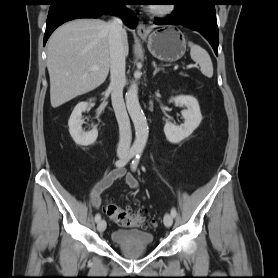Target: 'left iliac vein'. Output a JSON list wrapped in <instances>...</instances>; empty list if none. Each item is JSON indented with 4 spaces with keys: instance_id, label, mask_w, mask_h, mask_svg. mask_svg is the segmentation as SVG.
Masks as SVG:
<instances>
[{
    "instance_id": "4c4485c4",
    "label": "left iliac vein",
    "mask_w": 278,
    "mask_h": 278,
    "mask_svg": "<svg viewBox=\"0 0 278 278\" xmlns=\"http://www.w3.org/2000/svg\"><path fill=\"white\" fill-rule=\"evenodd\" d=\"M163 221L166 227H171V225L173 224V216L167 213L165 214Z\"/></svg>"
}]
</instances>
